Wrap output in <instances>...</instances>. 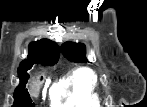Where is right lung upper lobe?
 <instances>
[{"instance_id": "right-lung-upper-lobe-1", "label": "right lung upper lobe", "mask_w": 147, "mask_h": 107, "mask_svg": "<svg viewBox=\"0 0 147 107\" xmlns=\"http://www.w3.org/2000/svg\"><path fill=\"white\" fill-rule=\"evenodd\" d=\"M59 59L58 45L48 39H41L29 45L28 57L21 62L18 72L33 64L52 65Z\"/></svg>"}]
</instances>
